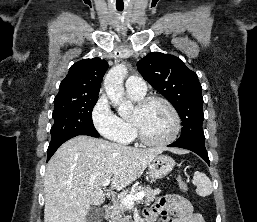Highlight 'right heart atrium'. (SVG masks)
Segmentation results:
<instances>
[{
  "label": "right heart atrium",
  "mask_w": 257,
  "mask_h": 222,
  "mask_svg": "<svg viewBox=\"0 0 257 222\" xmlns=\"http://www.w3.org/2000/svg\"><path fill=\"white\" fill-rule=\"evenodd\" d=\"M104 107L107 109L108 107V101L107 99L102 96L99 101L97 102L96 107ZM96 109V108H95ZM95 109L93 111V122L96 127V129L99 131V133L104 136L105 138H108L110 140L119 142V143H128L132 139L131 135V129L127 127L120 118L117 116H112L114 120L113 125H109L106 127H101L95 119Z\"/></svg>",
  "instance_id": "1"
}]
</instances>
